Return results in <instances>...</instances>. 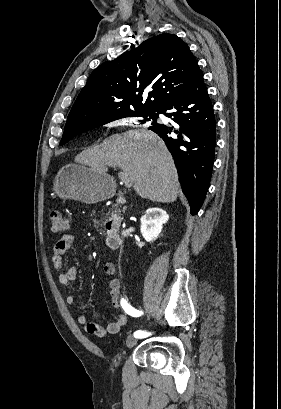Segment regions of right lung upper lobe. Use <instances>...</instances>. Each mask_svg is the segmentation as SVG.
Here are the masks:
<instances>
[{
	"label": "right lung upper lobe",
	"instance_id": "right-lung-upper-lobe-1",
	"mask_svg": "<svg viewBox=\"0 0 281 409\" xmlns=\"http://www.w3.org/2000/svg\"><path fill=\"white\" fill-rule=\"evenodd\" d=\"M199 73L184 41L174 34L154 36L91 73L65 128L88 126L124 112H157Z\"/></svg>",
	"mask_w": 281,
	"mask_h": 409
}]
</instances>
